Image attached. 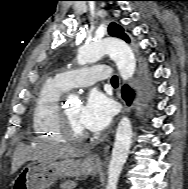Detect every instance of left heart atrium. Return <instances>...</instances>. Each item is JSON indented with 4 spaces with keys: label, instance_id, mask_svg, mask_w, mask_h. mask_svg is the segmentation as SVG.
I'll return each mask as SVG.
<instances>
[{
    "label": "left heart atrium",
    "instance_id": "39dd6f15",
    "mask_svg": "<svg viewBox=\"0 0 188 189\" xmlns=\"http://www.w3.org/2000/svg\"><path fill=\"white\" fill-rule=\"evenodd\" d=\"M112 118L110 99L98 90L91 91L85 104L81 107L79 120L90 131H101L107 127Z\"/></svg>",
    "mask_w": 188,
    "mask_h": 189
}]
</instances>
